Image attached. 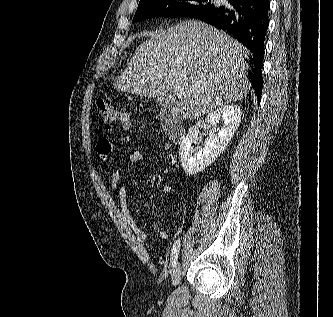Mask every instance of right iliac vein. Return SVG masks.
<instances>
[{"label":"right iliac vein","mask_w":333,"mask_h":317,"mask_svg":"<svg viewBox=\"0 0 333 317\" xmlns=\"http://www.w3.org/2000/svg\"><path fill=\"white\" fill-rule=\"evenodd\" d=\"M180 263H176L175 267L172 270L171 282L173 286H176L180 281Z\"/></svg>","instance_id":"right-iliac-vein-1"}]
</instances>
